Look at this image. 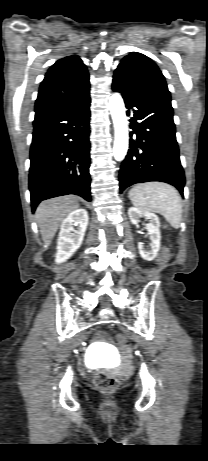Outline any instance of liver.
<instances>
[{
	"label": "liver",
	"mask_w": 208,
	"mask_h": 461,
	"mask_svg": "<svg viewBox=\"0 0 208 461\" xmlns=\"http://www.w3.org/2000/svg\"><path fill=\"white\" fill-rule=\"evenodd\" d=\"M74 196H63L43 201L36 210V219L44 243L49 246L63 219L78 209Z\"/></svg>",
	"instance_id": "obj_1"
}]
</instances>
